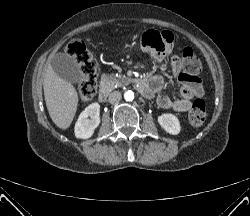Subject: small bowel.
Listing matches in <instances>:
<instances>
[{
    "label": "small bowel",
    "mask_w": 250,
    "mask_h": 216,
    "mask_svg": "<svg viewBox=\"0 0 250 216\" xmlns=\"http://www.w3.org/2000/svg\"><path fill=\"white\" fill-rule=\"evenodd\" d=\"M173 40V35L170 32L148 31L143 34L141 43L143 48L151 53L156 60L162 61L165 54L171 49ZM171 71L173 77L182 85L178 92V97L172 98L167 95H159L157 104L163 109L186 112L191 108L194 97L200 98L203 96L201 81L198 77L186 76L181 70L178 59L172 61ZM147 84L151 89L152 96L162 91L164 79L160 75H155L148 80Z\"/></svg>",
    "instance_id": "1"
}]
</instances>
